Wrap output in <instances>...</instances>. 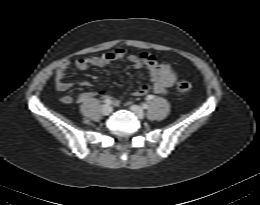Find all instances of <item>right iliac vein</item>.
<instances>
[{
  "mask_svg": "<svg viewBox=\"0 0 260 205\" xmlns=\"http://www.w3.org/2000/svg\"><path fill=\"white\" fill-rule=\"evenodd\" d=\"M101 112L103 115H109L112 112V107L108 104L103 105L101 108Z\"/></svg>",
  "mask_w": 260,
  "mask_h": 205,
  "instance_id": "1",
  "label": "right iliac vein"
}]
</instances>
